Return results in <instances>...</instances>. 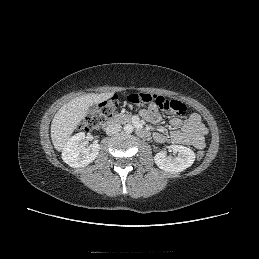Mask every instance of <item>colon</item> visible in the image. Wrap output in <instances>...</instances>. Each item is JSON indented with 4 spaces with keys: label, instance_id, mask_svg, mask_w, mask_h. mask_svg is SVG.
<instances>
[{
    "label": "colon",
    "instance_id": "1",
    "mask_svg": "<svg viewBox=\"0 0 259 259\" xmlns=\"http://www.w3.org/2000/svg\"><path fill=\"white\" fill-rule=\"evenodd\" d=\"M127 100L132 105L150 104L156 106L158 109L171 112L174 114H184L186 106L178 100L167 99L163 96L150 94V93H133L127 97ZM119 105L117 96H113L109 100L99 104L96 111L89 114L83 121L82 127L86 130H91L99 127L106 120L111 118L116 112ZM204 151L200 150L196 156L198 160L204 157Z\"/></svg>",
    "mask_w": 259,
    "mask_h": 259
}]
</instances>
